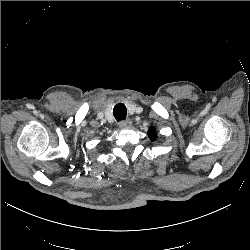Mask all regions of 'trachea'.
Masks as SVG:
<instances>
[{
  "label": "trachea",
  "instance_id": "1",
  "mask_svg": "<svg viewBox=\"0 0 250 250\" xmlns=\"http://www.w3.org/2000/svg\"><path fill=\"white\" fill-rule=\"evenodd\" d=\"M113 115L117 121L126 119L127 108L123 103H118L114 106Z\"/></svg>",
  "mask_w": 250,
  "mask_h": 250
}]
</instances>
